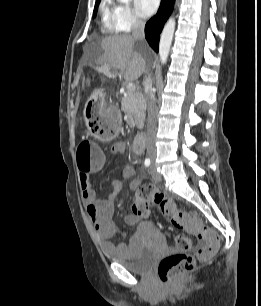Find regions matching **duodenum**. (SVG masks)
I'll list each match as a JSON object with an SVG mask.
<instances>
[{
    "label": "duodenum",
    "instance_id": "duodenum-1",
    "mask_svg": "<svg viewBox=\"0 0 261 306\" xmlns=\"http://www.w3.org/2000/svg\"><path fill=\"white\" fill-rule=\"evenodd\" d=\"M146 144V134L144 132L139 133L132 141V149L135 153H141Z\"/></svg>",
    "mask_w": 261,
    "mask_h": 306
}]
</instances>
